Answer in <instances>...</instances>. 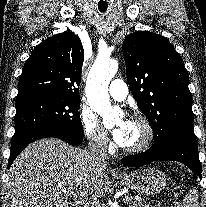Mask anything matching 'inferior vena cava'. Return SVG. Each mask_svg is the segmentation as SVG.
I'll return each mask as SVG.
<instances>
[{
    "label": "inferior vena cava",
    "instance_id": "602c4592",
    "mask_svg": "<svg viewBox=\"0 0 206 207\" xmlns=\"http://www.w3.org/2000/svg\"><path fill=\"white\" fill-rule=\"evenodd\" d=\"M88 153L94 162L107 160V142L98 136L91 137L88 144Z\"/></svg>",
    "mask_w": 206,
    "mask_h": 207
}]
</instances>
